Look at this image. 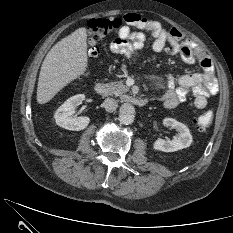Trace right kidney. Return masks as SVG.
<instances>
[{
	"label": "right kidney",
	"mask_w": 233,
	"mask_h": 233,
	"mask_svg": "<svg viewBox=\"0 0 233 233\" xmlns=\"http://www.w3.org/2000/svg\"><path fill=\"white\" fill-rule=\"evenodd\" d=\"M84 100V94H77L65 101L54 114L56 124L72 131L85 129L90 123V118L86 116L73 117L75 107L80 105Z\"/></svg>",
	"instance_id": "obj_1"
}]
</instances>
